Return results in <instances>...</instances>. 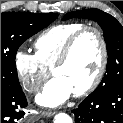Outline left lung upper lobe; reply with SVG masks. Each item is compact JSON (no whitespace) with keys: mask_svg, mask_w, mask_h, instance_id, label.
<instances>
[{"mask_svg":"<svg viewBox=\"0 0 123 123\" xmlns=\"http://www.w3.org/2000/svg\"><path fill=\"white\" fill-rule=\"evenodd\" d=\"M74 17L96 21L104 33L108 64L102 82L95 91H107L123 85V27L121 24L113 16L99 9L69 12L63 19L67 20Z\"/></svg>","mask_w":123,"mask_h":123,"instance_id":"left-lung-upper-lobe-1","label":"left lung upper lobe"}]
</instances>
